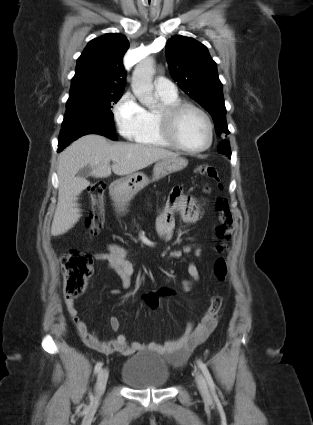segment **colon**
Instances as JSON below:
<instances>
[{
  "instance_id": "5ec220e1",
  "label": "colon",
  "mask_w": 313,
  "mask_h": 425,
  "mask_svg": "<svg viewBox=\"0 0 313 425\" xmlns=\"http://www.w3.org/2000/svg\"><path fill=\"white\" fill-rule=\"evenodd\" d=\"M196 172L203 175L216 183H220L217 170L210 165H199ZM221 187V185H219ZM106 185L103 182H94L89 186V196L92 201V210L88 219L89 235L94 236L98 233L104 221L103 196ZM215 212L217 216L216 235L219 242L214 246L217 253H224L228 250L227 240L234 233V220L229 209L228 200L226 198H218L215 201ZM201 250L196 251L197 256H201ZM62 271L64 276V294L68 299H75L80 296L85 288L89 277L93 272V258L90 254L69 250L61 257ZM213 274L215 278L223 282L227 278L228 267L224 258H218L213 265ZM172 290L161 288L158 291L147 293L144 296L145 303L151 309L158 306L159 299L162 296L172 294ZM222 297L215 295L211 298L208 307V313L213 319H217Z\"/></svg>"
}]
</instances>
